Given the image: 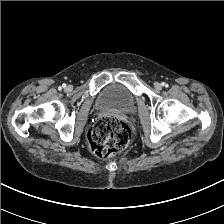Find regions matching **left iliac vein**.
I'll list each match as a JSON object with an SVG mask.
<instances>
[{"label":"left iliac vein","instance_id":"obj_1","mask_svg":"<svg viewBox=\"0 0 224 224\" xmlns=\"http://www.w3.org/2000/svg\"><path fill=\"white\" fill-rule=\"evenodd\" d=\"M154 88L159 91V90L162 89V85L159 82H155L154 83Z\"/></svg>","mask_w":224,"mask_h":224}]
</instances>
